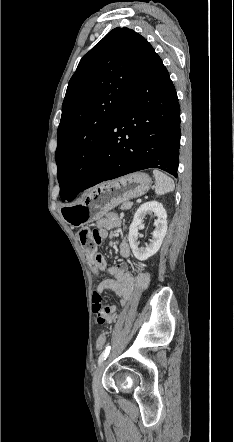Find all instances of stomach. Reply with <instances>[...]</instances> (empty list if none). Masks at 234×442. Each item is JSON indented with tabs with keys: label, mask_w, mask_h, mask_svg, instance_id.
Returning a JSON list of instances; mask_svg holds the SVG:
<instances>
[{
	"label": "stomach",
	"mask_w": 234,
	"mask_h": 442,
	"mask_svg": "<svg viewBox=\"0 0 234 442\" xmlns=\"http://www.w3.org/2000/svg\"><path fill=\"white\" fill-rule=\"evenodd\" d=\"M151 186V178L136 172L92 188L84 199L62 208L65 221L80 226L103 217L115 206L144 195Z\"/></svg>",
	"instance_id": "0dacf381"
}]
</instances>
